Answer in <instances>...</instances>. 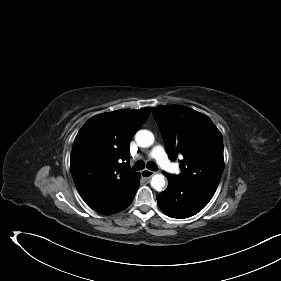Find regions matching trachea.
<instances>
[{"label": "trachea", "instance_id": "3493384b", "mask_svg": "<svg viewBox=\"0 0 281 281\" xmlns=\"http://www.w3.org/2000/svg\"><path fill=\"white\" fill-rule=\"evenodd\" d=\"M144 168H145L144 162L141 161V160H138V161L135 163V165H134V167H133V170H142V169H144ZM147 169H149V170H151V171H157V170H158V167H157V165H156L154 162L150 161V162L147 163Z\"/></svg>", "mask_w": 281, "mask_h": 281}]
</instances>
